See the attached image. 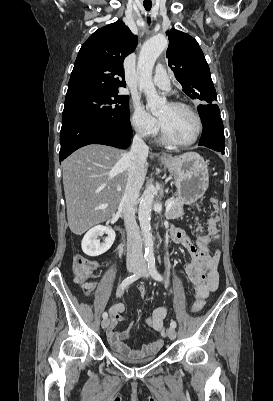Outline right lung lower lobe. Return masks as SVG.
Returning a JSON list of instances; mask_svg holds the SVG:
<instances>
[{
  "label": "right lung lower lobe",
  "mask_w": 273,
  "mask_h": 401,
  "mask_svg": "<svg viewBox=\"0 0 273 401\" xmlns=\"http://www.w3.org/2000/svg\"><path fill=\"white\" fill-rule=\"evenodd\" d=\"M131 127L117 126L87 119L62 124L60 161L78 148L89 144H104L125 149L130 145Z\"/></svg>",
  "instance_id": "1"
}]
</instances>
